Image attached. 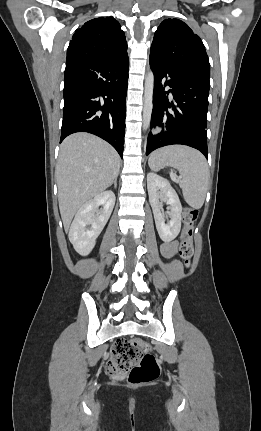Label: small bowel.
Returning <instances> with one entry per match:
<instances>
[{
    "mask_svg": "<svg viewBox=\"0 0 261 431\" xmlns=\"http://www.w3.org/2000/svg\"><path fill=\"white\" fill-rule=\"evenodd\" d=\"M177 246H178L177 241H171V242H166L162 244L161 252L163 256L167 259H171L176 253Z\"/></svg>",
    "mask_w": 261,
    "mask_h": 431,
    "instance_id": "small-bowel-1",
    "label": "small bowel"
}]
</instances>
